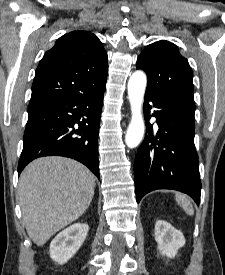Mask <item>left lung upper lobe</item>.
Masks as SVG:
<instances>
[{
	"mask_svg": "<svg viewBox=\"0 0 225 275\" xmlns=\"http://www.w3.org/2000/svg\"><path fill=\"white\" fill-rule=\"evenodd\" d=\"M137 69L148 76L147 89L195 111L192 69L169 41H158L145 47L137 59Z\"/></svg>",
	"mask_w": 225,
	"mask_h": 275,
	"instance_id": "1",
	"label": "left lung upper lobe"
}]
</instances>
